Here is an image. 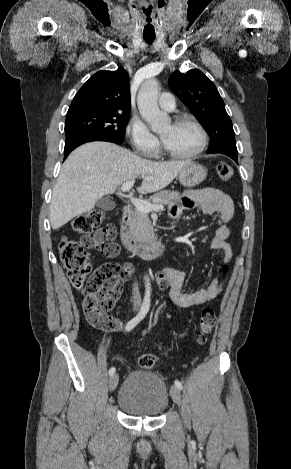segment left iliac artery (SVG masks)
Segmentation results:
<instances>
[{"label":"left iliac artery","mask_w":291,"mask_h":469,"mask_svg":"<svg viewBox=\"0 0 291 469\" xmlns=\"http://www.w3.org/2000/svg\"><path fill=\"white\" fill-rule=\"evenodd\" d=\"M175 386L180 390L183 388V386H182V384L179 380H175Z\"/></svg>","instance_id":"obj_1"}]
</instances>
